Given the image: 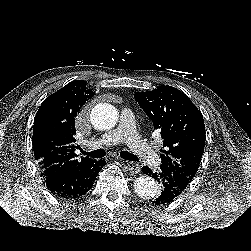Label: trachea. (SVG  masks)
I'll list each match as a JSON object with an SVG mask.
<instances>
[{"label":"trachea","mask_w":251,"mask_h":251,"mask_svg":"<svg viewBox=\"0 0 251 251\" xmlns=\"http://www.w3.org/2000/svg\"><path fill=\"white\" fill-rule=\"evenodd\" d=\"M81 152L84 155L91 156L92 158H101V157H104L106 155V150H104V149H97V150H94L92 152H86L84 150H81ZM120 155H121L122 158H124L126 160L138 161V158L135 155L129 153L128 151H122V152H120Z\"/></svg>","instance_id":"trachea-1"}]
</instances>
